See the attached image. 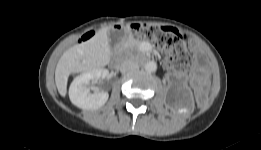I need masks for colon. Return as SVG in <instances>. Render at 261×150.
<instances>
[{
	"instance_id": "obj_1",
	"label": "colon",
	"mask_w": 261,
	"mask_h": 150,
	"mask_svg": "<svg viewBox=\"0 0 261 150\" xmlns=\"http://www.w3.org/2000/svg\"><path fill=\"white\" fill-rule=\"evenodd\" d=\"M129 31L137 38L151 39L164 52L168 65L174 70H186L191 66V56L186 48V35L174 27H156L148 24H131ZM94 32H88L83 41L91 39Z\"/></svg>"
}]
</instances>
